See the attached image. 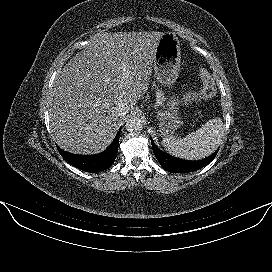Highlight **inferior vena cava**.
<instances>
[{
    "mask_svg": "<svg viewBox=\"0 0 272 272\" xmlns=\"http://www.w3.org/2000/svg\"><path fill=\"white\" fill-rule=\"evenodd\" d=\"M129 110H130V108L121 102H118L114 107V111L118 116H122V115L127 114L129 112Z\"/></svg>",
    "mask_w": 272,
    "mask_h": 272,
    "instance_id": "1",
    "label": "inferior vena cava"
}]
</instances>
